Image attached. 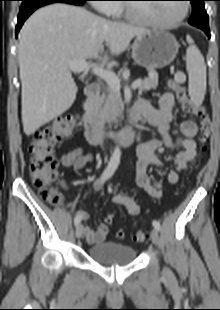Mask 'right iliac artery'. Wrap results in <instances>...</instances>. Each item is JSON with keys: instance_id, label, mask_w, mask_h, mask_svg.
Returning <instances> with one entry per match:
<instances>
[{"instance_id": "82829eb1", "label": "right iliac artery", "mask_w": 220, "mask_h": 310, "mask_svg": "<svg viewBox=\"0 0 220 310\" xmlns=\"http://www.w3.org/2000/svg\"><path fill=\"white\" fill-rule=\"evenodd\" d=\"M120 155H121V152L119 149H116L111 158H110V161L106 167V169L104 170L102 176H101V179L103 181H106L107 179H109L113 173L115 172V170L117 169L118 165H119V162H120ZM82 217L77 214L75 216V219H74V223L75 225H78L81 221Z\"/></svg>"}]
</instances>
